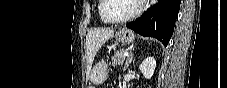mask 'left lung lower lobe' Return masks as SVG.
Masks as SVG:
<instances>
[{"mask_svg": "<svg viewBox=\"0 0 227 88\" xmlns=\"http://www.w3.org/2000/svg\"><path fill=\"white\" fill-rule=\"evenodd\" d=\"M181 0H159L137 20L126 26L142 36L154 37L167 46L175 26Z\"/></svg>", "mask_w": 227, "mask_h": 88, "instance_id": "0a47b994", "label": "left lung lower lobe"}]
</instances>
